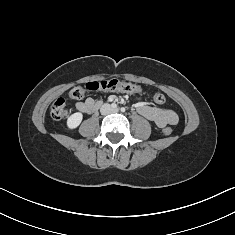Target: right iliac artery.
<instances>
[{
	"mask_svg": "<svg viewBox=\"0 0 235 235\" xmlns=\"http://www.w3.org/2000/svg\"><path fill=\"white\" fill-rule=\"evenodd\" d=\"M111 106H112V108H117V104H115V103H112Z\"/></svg>",
	"mask_w": 235,
	"mask_h": 235,
	"instance_id": "right-iliac-artery-1",
	"label": "right iliac artery"
}]
</instances>
